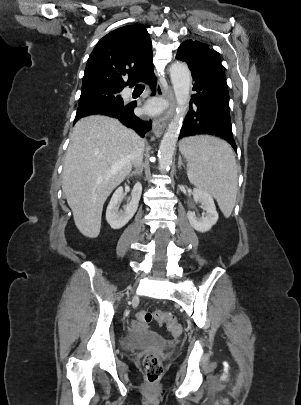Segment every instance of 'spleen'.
Listing matches in <instances>:
<instances>
[{
  "label": "spleen",
  "instance_id": "1",
  "mask_svg": "<svg viewBox=\"0 0 301 405\" xmlns=\"http://www.w3.org/2000/svg\"><path fill=\"white\" fill-rule=\"evenodd\" d=\"M181 154L187 160L189 181L210 193L225 217L233 211L237 195V164L227 142L211 136H193L181 140Z\"/></svg>",
  "mask_w": 301,
  "mask_h": 405
}]
</instances>
